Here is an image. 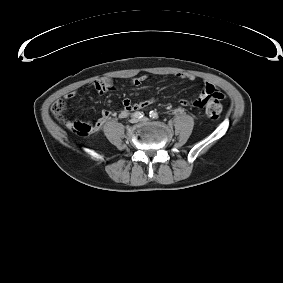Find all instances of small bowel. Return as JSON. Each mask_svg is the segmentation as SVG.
<instances>
[{
	"label": "small bowel",
	"instance_id": "small-bowel-1",
	"mask_svg": "<svg viewBox=\"0 0 283 283\" xmlns=\"http://www.w3.org/2000/svg\"><path fill=\"white\" fill-rule=\"evenodd\" d=\"M180 79H186L193 81L195 80V76L192 74H177L176 75ZM146 80V76H142L139 78H136L132 81V84L136 87H139L143 84V82ZM96 89L99 91V93H105L106 91L113 90V85L109 80H98L94 83ZM217 89L215 86L211 83L206 82L204 86L202 87L200 93L196 98L193 100H187V99H181L179 101V104L183 107L189 106L197 109H207L208 106L217 101ZM77 91H70L68 92L65 97L70 99L73 98L76 95ZM154 103V99H148L139 101L136 103H132L129 99H124L123 101V109L121 111L120 116L126 117L129 113L137 110H143L148 108L150 105ZM114 115V112L110 110H103L101 112L100 118L91 124L92 132L95 133L99 131L103 125ZM69 127L73 126V123H68Z\"/></svg>",
	"mask_w": 283,
	"mask_h": 283
}]
</instances>
